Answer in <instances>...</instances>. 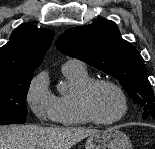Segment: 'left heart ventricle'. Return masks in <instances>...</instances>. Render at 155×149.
Instances as JSON below:
<instances>
[{
	"mask_svg": "<svg viewBox=\"0 0 155 149\" xmlns=\"http://www.w3.org/2000/svg\"><path fill=\"white\" fill-rule=\"evenodd\" d=\"M91 107L97 117L109 120L120 114L122 101L114 88L108 85H99L91 94Z\"/></svg>",
	"mask_w": 155,
	"mask_h": 149,
	"instance_id": "obj_1",
	"label": "left heart ventricle"
}]
</instances>
